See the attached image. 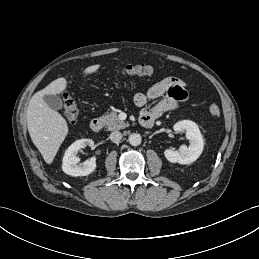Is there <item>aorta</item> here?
<instances>
[{"instance_id": "1", "label": "aorta", "mask_w": 259, "mask_h": 259, "mask_svg": "<svg viewBox=\"0 0 259 259\" xmlns=\"http://www.w3.org/2000/svg\"><path fill=\"white\" fill-rule=\"evenodd\" d=\"M129 143L132 145V146H138L141 144V141H142V138L140 136V134H137V133H133L129 136Z\"/></svg>"}]
</instances>
